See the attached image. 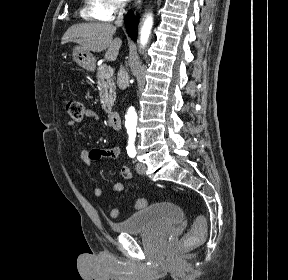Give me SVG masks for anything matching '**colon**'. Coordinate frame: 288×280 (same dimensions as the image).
Listing matches in <instances>:
<instances>
[{"label":"colon","mask_w":288,"mask_h":280,"mask_svg":"<svg viewBox=\"0 0 288 280\" xmlns=\"http://www.w3.org/2000/svg\"><path fill=\"white\" fill-rule=\"evenodd\" d=\"M65 108L69 116L75 120L79 121L84 116V106L81 102L77 100H66L65 101ZM147 206V200L144 198L139 199L135 203V208L142 209ZM120 212L119 209L114 208L110 212V216L112 218H117L119 216ZM206 234V221L203 215H198L193 224L191 229L189 230L188 234L186 235L185 239L183 240V246H193L201 243Z\"/></svg>","instance_id":"colon-1"}]
</instances>
